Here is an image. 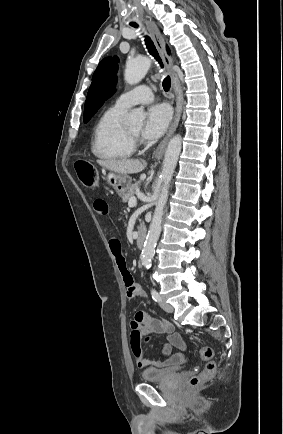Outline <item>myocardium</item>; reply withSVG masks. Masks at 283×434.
<instances>
[{
  "label": "myocardium",
  "instance_id": "1",
  "mask_svg": "<svg viewBox=\"0 0 283 434\" xmlns=\"http://www.w3.org/2000/svg\"><path fill=\"white\" fill-rule=\"evenodd\" d=\"M127 132L130 136V138L135 142L138 139V134H135L133 132H131L129 129H127Z\"/></svg>",
  "mask_w": 283,
  "mask_h": 434
}]
</instances>
